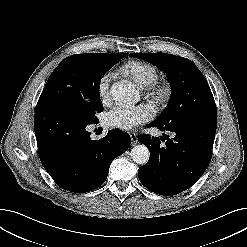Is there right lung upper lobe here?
<instances>
[{"instance_id": "1", "label": "right lung upper lobe", "mask_w": 247, "mask_h": 247, "mask_svg": "<svg viewBox=\"0 0 247 247\" xmlns=\"http://www.w3.org/2000/svg\"><path fill=\"white\" fill-rule=\"evenodd\" d=\"M95 54H101L103 56H107V57H111V58L122 57L124 55L126 56V54H124V53H120V54L95 53Z\"/></svg>"}]
</instances>
